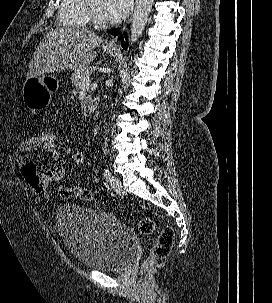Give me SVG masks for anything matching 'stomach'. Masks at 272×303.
<instances>
[{"label":"stomach","mask_w":272,"mask_h":303,"mask_svg":"<svg viewBox=\"0 0 272 303\" xmlns=\"http://www.w3.org/2000/svg\"><path fill=\"white\" fill-rule=\"evenodd\" d=\"M104 52L113 53L114 49L103 47ZM56 79L40 75L27 77L22 86V99L31 110L43 109L49 105L56 90Z\"/></svg>","instance_id":"obj_1"}]
</instances>
